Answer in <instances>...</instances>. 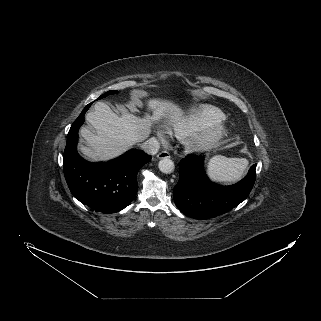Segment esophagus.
I'll return each instance as SVG.
<instances>
[{
	"label": "esophagus",
	"mask_w": 321,
	"mask_h": 321,
	"mask_svg": "<svg viewBox=\"0 0 321 321\" xmlns=\"http://www.w3.org/2000/svg\"><path fill=\"white\" fill-rule=\"evenodd\" d=\"M158 159L170 158V154L167 151H162L157 155Z\"/></svg>",
	"instance_id": "esophagus-1"
}]
</instances>
